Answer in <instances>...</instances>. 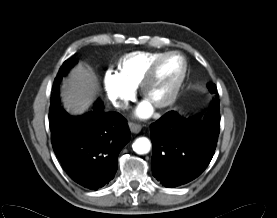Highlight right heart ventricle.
Masks as SVG:
<instances>
[{
  "mask_svg": "<svg viewBox=\"0 0 277 218\" xmlns=\"http://www.w3.org/2000/svg\"><path fill=\"white\" fill-rule=\"evenodd\" d=\"M162 52L136 51L125 55L119 62V75L130 87L139 86L150 63Z\"/></svg>",
  "mask_w": 277,
  "mask_h": 218,
  "instance_id": "right-heart-ventricle-1",
  "label": "right heart ventricle"
}]
</instances>
